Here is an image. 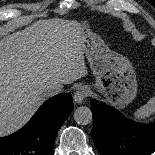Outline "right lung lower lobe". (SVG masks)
<instances>
[{
	"label": "right lung lower lobe",
	"instance_id": "right-lung-lower-lobe-1",
	"mask_svg": "<svg viewBox=\"0 0 155 155\" xmlns=\"http://www.w3.org/2000/svg\"><path fill=\"white\" fill-rule=\"evenodd\" d=\"M73 108L68 93L47 100L22 129L0 138V155H50L58 130Z\"/></svg>",
	"mask_w": 155,
	"mask_h": 155
}]
</instances>
